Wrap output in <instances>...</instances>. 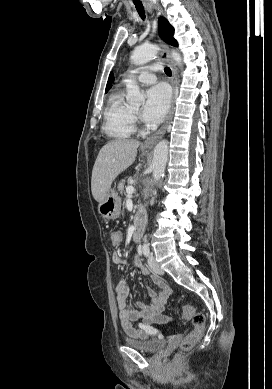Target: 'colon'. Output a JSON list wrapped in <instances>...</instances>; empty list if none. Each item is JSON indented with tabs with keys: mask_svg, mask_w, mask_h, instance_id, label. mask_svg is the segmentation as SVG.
Masks as SVG:
<instances>
[{
	"mask_svg": "<svg viewBox=\"0 0 272 389\" xmlns=\"http://www.w3.org/2000/svg\"><path fill=\"white\" fill-rule=\"evenodd\" d=\"M110 240L114 246H118L122 241V234L117 230H112L109 233ZM180 312L186 320L191 319L193 330L190 331L183 339L181 351L187 352L191 350L201 339L205 330V316L202 313H195L191 305H184L180 308Z\"/></svg>",
	"mask_w": 272,
	"mask_h": 389,
	"instance_id": "5ec220e1",
	"label": "colon"
}]
</instances>
